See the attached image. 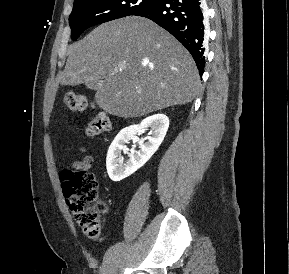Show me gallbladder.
Here are the masks:
<instances>
[{"label":"gallbladder","instance_id":"gallbladder-1","mask_svg":"<svg viewBox=\"0 0 289 274\" xmlns=\"http://www.w3.org/2000/svg\"><path fill=\"white\" fill-rule=\"evenodd\" d=\"M87 88L93 89L94 88V84L93 83H88L86 84Z\"/></svg>","mask_w":289,"mask_h":274}]
</instances>
